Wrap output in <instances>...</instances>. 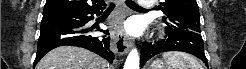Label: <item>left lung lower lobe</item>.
Listing matches in <instances>:
<instances>
[{
  "label": "left lung lower lobe",
  "mask_w": 246,
  "mask_h": 69,
  "mask_svg": "<svg viewBox=\"0 0 246 69\" xmlns=\"http://www.w3.org/2000/svg\"><path fill=\"white\" fill-rule=\"evenodd\" d=\"M167 39L160 40L154 44L145 42L141 49V66L156 54L167 51H182L193 54L208 66L207 58L203 49V40L199 33L188 30L166 31Z\"/></svg>",
  "instance_id": "1"
}]
</instances>
